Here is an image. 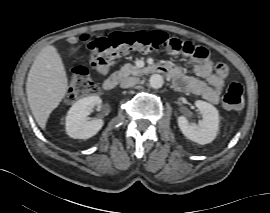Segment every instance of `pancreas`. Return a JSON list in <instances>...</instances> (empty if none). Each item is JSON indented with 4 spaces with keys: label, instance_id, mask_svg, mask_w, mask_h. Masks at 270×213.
<instances>
[{
    "label": "pancreas",
    "instance_id": "1",
    "mask_svg": "<svg viewBox=\"0 0 270 213\" xmlns=\"http://www.w3.org/2000/svg\"><path fill=\"white\" fill-rule=\"evenodd\" d=\"M142 73V70L137 68L136 66H133L131 64H125L124 66H122V68L120 69V71L118 72V74L121 77H126L128 75H140Z\"/></svg>",
    "mask_w": 270,
    "mask_h": 213
}]
</instances>
